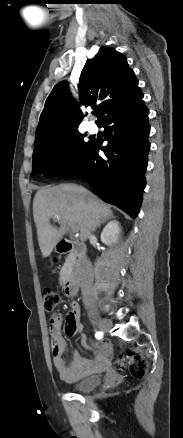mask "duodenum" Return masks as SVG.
<instances>
[{
    "mask_svg": "<svg viewBox=\"0 0 183 438\" xmlns=\"http://www.w3.org/2000/svg\"><path fill=\"white\" fill-rule=\"evenodd\" d=\"M57 250L62 254H71V265L67 271L63 288L69 297H75L79 290V272L86 254V247L83 243L62 239L58 242Z\"/></svg>",
    "mask_w": 183,
    "mask_h": 438,
    "instance_id": "1",
    "label": "duodenum"
}]
</instances>
